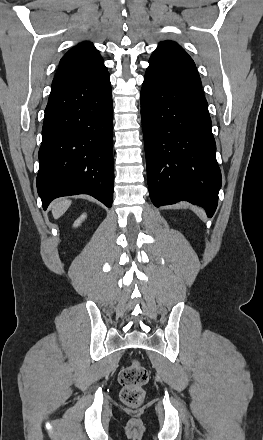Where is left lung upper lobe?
<instances>
[{
    "label": "left lung upper lobe",
    "mask_w": 263,
    "mask_h": 440,
    "mask_svg": "<svg viewBox=\"0 0 263 440\" xmlns=\"http://www.w3.org/2000/svg\"><path fill=\"white\" fill-rule=\"evenodd\" d=\"M170 42H173V41H163V42H160L159 45H158V48L153 52V54H152L150 59H153L158 54V51L161 48L167 46Z\"/></svg>",
    "instance_id": "5c2ea615"
}]
</instances>
